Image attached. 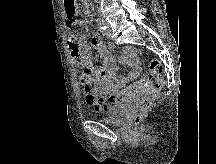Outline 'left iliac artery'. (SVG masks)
I'll use <instances>...</instances> for the list:
<instances>
[{
  "instance_id": "obj_1",
  "label": "left iliac artery",
  "mask_w": 216,
  "mask_h": 164,
  "mask_svg": "<svg viewBox=\"0 0 216 164\" xmlns=\"http://www.w3.org/2000/svg\"><path fill=\"white\" fill-rule=\"evenodd\" d=\"M95 20H96V23H97L99 29L102 31H105L106 30V24H105L104 20L101 18H98V17Z\"/></svg>"
}]
</instances>
